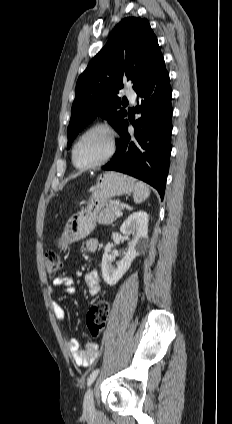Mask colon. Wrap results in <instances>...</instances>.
Listing matches in <instances>:
<instances>
[{
	"label": "colon",
	"mask_w": 232,
	"mask_h": 424,
	"mask_svg": "<svg viewBox=\"0 0 232 424\" xmlns=\"http://www.w3.org/2000/svg\"><path fill=\"white\" fill-rule=\"evenodd\" d=\"M44 262L46 270L49 273L56 272L61 267V259L59 254L52 250L48 249L44 252ZM110 312V307L108 302L100 301L94 305L86 316V324L90 334L93 337L99 336L104 330L108 315Z\"/></svg>",
	"instance_id": "colon-1"
}]
</instances>
